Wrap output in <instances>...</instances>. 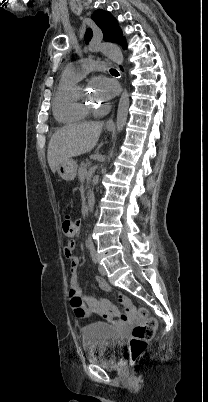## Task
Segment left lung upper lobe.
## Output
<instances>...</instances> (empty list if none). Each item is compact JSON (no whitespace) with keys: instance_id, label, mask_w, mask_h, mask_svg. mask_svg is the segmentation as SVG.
<instances>
[{"instance_id":"left-lung-upper-lobe-1","label":"left lung upper lobe","mask_w":208,"mask_h":402,"mask_svg":"<svg viewBox=\"0 0 208 402\" xmlns=\"http://www.w3.org/2000/svg\"><path fill=\"white\" fill-rule=\"evenodd\" d=\"M91 18L95 21L98 27L103 32V38L108 42H115L121 45L123 41L122 32L117 24L115 18L104 10H96ZM92 37V30L87 29L85 40L88 42Z\"/></svg>"}]
</instances>
